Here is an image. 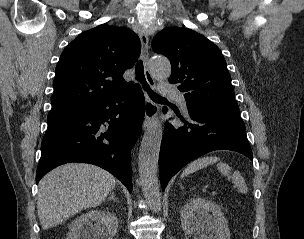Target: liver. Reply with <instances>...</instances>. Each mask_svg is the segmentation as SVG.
Wrapping results in <instances>:
<instances>
[{
  "instance_id": "obj_1",
  "label": "liver",
  "mask_w": 304,
  "mask_h": 239,
  "mask_svg": "<svg viewBox=\"0 0 304 239\" xmlns=\"http://www.w3.org/2000/svg\"><path fill=\"white\" fill-rule=\"evenodd\" d=\"M116 179L94 165L68 163L39 182L37 211L42 229L55 227L85 208L101 204Z\"/></svg>"
}]
</instances>
